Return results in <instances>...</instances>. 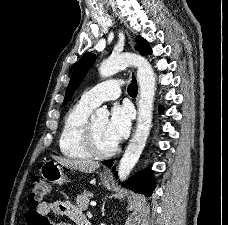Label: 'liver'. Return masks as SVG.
<instances>
[{"instance_id": "liver-1", "label": "liver", "mask_w": 228, "mask_h": 225, "mask_svg": "<svg viewBox=\"0 0 228 225\" xmlns=\"http://www.w3.org/2000/svg\"><path fill=\"white\" fill-rule=\"evenodd\" d=\"M59 165H64L67 169H74V171H82V173H92L99 169L97 161H83V159H62V157H53Z\"/></svg>"}]
</instances>
